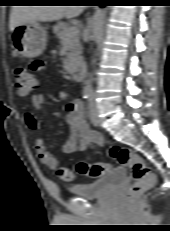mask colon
Wrapping results in <instances>:
<instances>
[{
	"label": "colon",
	"instance_id": "obj_1",
	"mask_svg": "<svg viewBox=\"0 0 170 231\" xmlns=\"http://www.w3.org/2000/svg\"><path fill=\"white\" fill-rule=\"evenodd\" d=\"M14 86L18 94L28 95L36 88L37 82L29 68L17 66L13 70ZM110 158L116 163L126 166L130 169L134 178V184L127 192L129 201L135 200L146 190L150 189L155 184V176L150 168L145 164L143 159L134 151L127 147L113 146L109 150ZM110 166L105 163H87L81 161L77 164L76 170L78 173L88 177H101ZM57 175L63 181L69 182L74 178L73 172L67 167H59Z\"/></svg>",
	"mask_w": 170,
	"mask_h": 231
}]
</instances>
